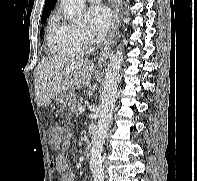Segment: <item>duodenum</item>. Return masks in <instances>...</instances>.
<instances>
[{"mask_svg": "<svg viewBox=\"0 0 197 181\" xmlns=\"http://www.w3.org/2000/svg\"><path fill=\"white\" fill-rule=\"evenodd\" d=\"M85 155L87 159H90L91 157V146L90 145H86L85 147Z\"/></svg>", "mask_w": 197, "mask_h": 181, "instance_id": "410a0bca", "label": "duodenum"}]
</instances>
